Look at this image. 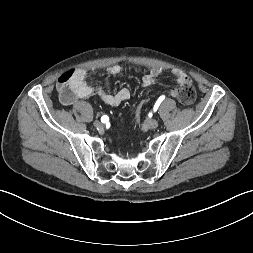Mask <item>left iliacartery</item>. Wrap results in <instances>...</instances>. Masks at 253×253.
<instances>
[{
    "mask_svg": "<svg viewBox=\"0 0 253 253\" xmlns=\"http://www.w3.org/2000/svg\"><path fill=\"white\" fill-rule=\"evenodd\" d=\"M165 99V96H160L157 102L154 105V111H156L160 105V103Z\"/></svg>",
    "mask_w": 253,
    "mask_h": 253,
    "instance_id": "left-iliac-artery-1",
    "label": "left iliac artery"
}]
</instances>
